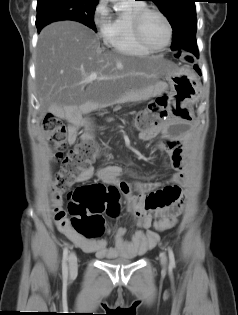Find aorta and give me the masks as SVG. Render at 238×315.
Masks as SVG:
<instances>
[{
    "instance_id": "obj_1",
    "label": "aorta",
    "mask_w": 238,
    "mask_h": 315,
    "mask_svg": "<svg viewBox=\"0 0 238 315\" xmlns=\"http://www.w3.org/2000/svg\"><path fill=\"white\" fill-rule=\"evenodd\" d=\"M112 3H114V8L116 10H122L123 9V6L122 4L120 3V0H110Z\"/></svg>"
}]
</instances>
